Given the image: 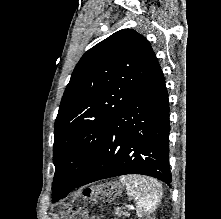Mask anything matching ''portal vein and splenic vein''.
<instances>
[{"instance_id":"18ae733b","label":"portal vein and splenic vein","mask_w":221,"mask_h":219,"mask_svg":"<svg viewBox=\"0 0 221 219\" xmlns=\"http://www.w3.org/2000/svg\"><path fill=\"white\" fill-rule=\"evenodd\" d=\"M128 208H129V209H134V207H133V206H131V205H128Z\"/></svg>"}]
</instances>
